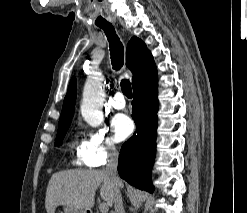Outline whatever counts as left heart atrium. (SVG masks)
Instances as JSON below:
<instances>
[{
	"label": "left heart atrium",
	"instance_id": "1",
	"mask_svg": "<svg viewBox=\"0 0 247 213\" xmlns=\"http://www.w3.org/2000/svg\"><path fill=\"white\" fill-rule=\"evenodd\" d=\"M111 127L117 141H123L133 131V123L131 119L124 114L116 115L111 122Z\"/></svg>",
	"mask_w": 247,
	"mask_h": 213
}]
</instances>
